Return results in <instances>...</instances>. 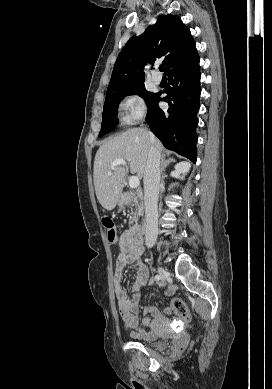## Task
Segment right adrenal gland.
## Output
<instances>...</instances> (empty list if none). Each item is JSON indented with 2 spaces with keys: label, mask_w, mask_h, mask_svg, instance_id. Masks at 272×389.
I'll return each instance as SVG.
<instances>
[{
  "label": "right adrenal gland",
  "mask_w": 272,
  "mask_h": 389,
  "mask_svg": "<svg viewBox=\"0 0 272 389\" xmlns=\"http://www.w3.org/2000/svg\"><path fill=\"white\" fill-rule=\"evenodd\" d=\"M172 162H175V159L173 158L166 159L165 155H163L161 159V173H163L164 169Z\"/></svg>",
  "instance_id": "1"
}]
</instances>
